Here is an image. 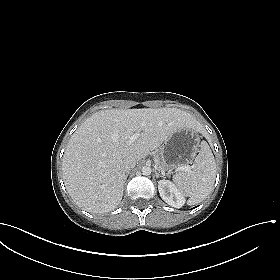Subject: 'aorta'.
I'll list each match as a JSON object with an SVG mask.
<instances>
[{
    "instance_id": "obj_1",
    "label": "aorta",
    "mask_w": 280,
    "mask_h": 280,
    "mask_svg": "<svg viewBox=\"0 0 280 280\" xmlns=\"http://www.w3.org/2000/svg\"><path fill=\"white\" fill-rule=\"evenodd\" d=\"M141 171L143 175L148 176L151 174L152 170L149 166H144Z\"/></svg>"
}]
</instances>
